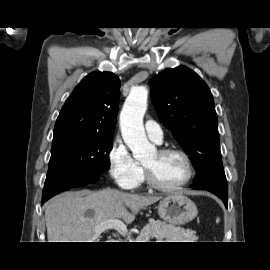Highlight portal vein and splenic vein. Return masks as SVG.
<instances>
[{
  "label": "portal vein and splenic vein",
  "instance_id": "portal-vein-and-splenic-vein-1",
  "mask_svg": "<svg viewBox=\"0 0 270 270\" xmlns=\"http://www.w3.org/2000/svg\"><path fill=\"white\" fill-rule=\"evenodd\" d=\"M107 229H115L123 236H126L128 233L126 225L119 219H111L100 223L95 227V232L100 234Z\"/></svg>",
  "mask_w": 270,
  "mask_h": 270
}]
</instances>
